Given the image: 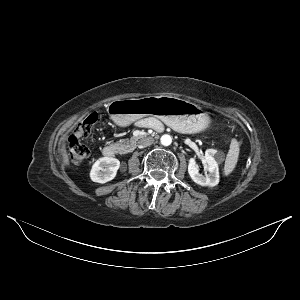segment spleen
Wrapping results in <instances>:
<instances>
[{"mask_svg":"<svg viewBox=\"0 0 300 300\" xmlns=\"http://www.w3.org/2000/svg\"><path fill=\"white\" fill-rule=\"evenodd\" d=\"M239 151L240 148L238 141L236 139H232L229 151L225 159V164L223 168L224 175H229L236 167L239 157Z\"/></svg>","mask_w":300,"mask_h":300,"instance_id":"1","label":"spleen"}]
</instances>
